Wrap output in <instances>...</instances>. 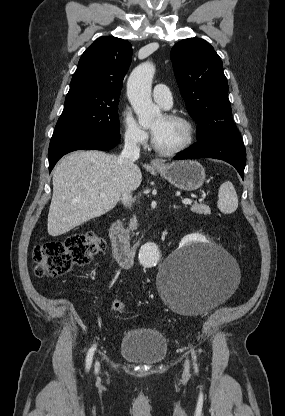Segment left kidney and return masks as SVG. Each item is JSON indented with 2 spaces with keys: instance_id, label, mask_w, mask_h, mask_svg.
I'll list each match as a JSON object with an SVG mask.
<instances>
[{
  "instance_id": "5707ae66",
  "label": "left kidney",
  "mask_w": 285,
  "mask_h": 416,
  "mask_svg": "<svg viewBox=\"0 0 285 416\" xmlns=\"http://www.w3.org/2000/svg\"><path fill=\"white\" fill-rule=\"evenodd\" d=\"M198 238H200V240H202V242H206L205 236H198Z\"/></svg>"
}]
</instances>
